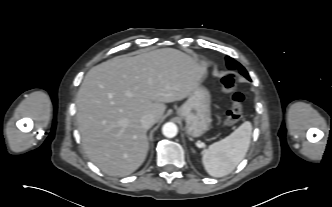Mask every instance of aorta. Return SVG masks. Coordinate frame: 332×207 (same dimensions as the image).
Masks as SVG:
<instances>
[{"label": "aorta", "mask_w": 332, "mask_h": 207, "mask_svg": "<svg viewBox=\"0 0 332 207\" xmlns=\"http://www.w3.org/2000/svg\"><path fill=\"white\" fill-rule=\"evenodd\" d=\"M178 128L176 124L172 122L165 123L162 127V133L168 138H173L177 135Z\"/></svg>", "instance_id": "aorta-1"}]
</instances>
